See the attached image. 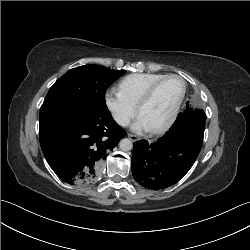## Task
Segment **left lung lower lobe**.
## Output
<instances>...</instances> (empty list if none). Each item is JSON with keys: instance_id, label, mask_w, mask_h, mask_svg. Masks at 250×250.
<instances>
[{"instance_id": "left-lung-lower-lobe-1", "label": "left lung lower lobe", "mask_w": 250, "mask_h": 250, "mask_svg": "<svg viewBox=\"0 0 250 250\" xmlns=\"http://www.w3.org/2000/svg\"><path fill=\"white\" fill-rule=\"evenodd\" d=\"M206 115L188 107L166 134L150 143H133L134 179L149 189H163L179 181L192 167L203 143Z\"/></svg>"}]
</instances>
